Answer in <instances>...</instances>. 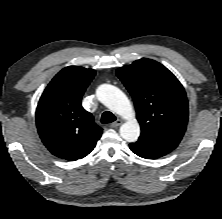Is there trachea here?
<instances>
[{"label":"trachea","instance_id":"3493384b","mask_svg":"<svg viewBox=\"0 0 222 219\" xmlns=\"http://www.w3.org/2000/svg\"><path fill=\"white\" fill-rule=\"evenodd\" d=\"M116 120L115 115L110 111H105L101 116V122L103 124L111 123Z\"/></svg>","mask_w":222,"mask_h":219}]
</instances>
